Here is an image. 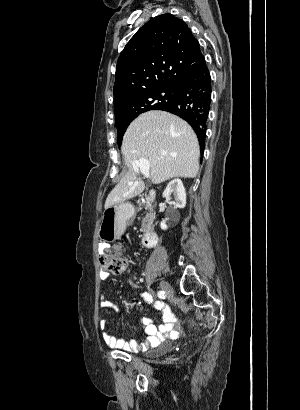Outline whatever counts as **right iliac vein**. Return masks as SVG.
<instances>
[{
  "mask_svg": "<svg viewBox=\"0 0 300 410\" xmlns=\"http://www.w3.org/2000/svg\"><path fill=\"white\" fill-rule=\"evenodd\" d=\"M160 288L167 294L170 295L173 292L172 286L166 282V281H162L160 282Z\"/></svg>",
  "mask_w": 300,
  "mask_h": 410,
  "instance_id": "1",
  "label": "right iliac vein"
}]
</instances>
